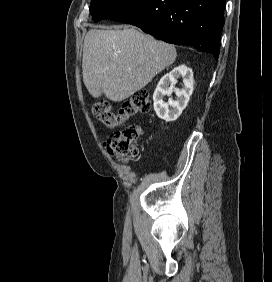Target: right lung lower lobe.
<instances>
[{"label": "right lung lower lobe", "mask_w": 272, "mask_h": 282, "mask_svg": "<svg viewBox=\"0 0 272 282\" xmlns=\"http://www.w3.org/2000/svg\"><path fill=\"white\" fill-rule=\"evenodd\" d=\"M226 0H137L109 19L135 25L172 44L218 58Z\"/></svg>", "instance_id": "obj_1"}]
</instances>
